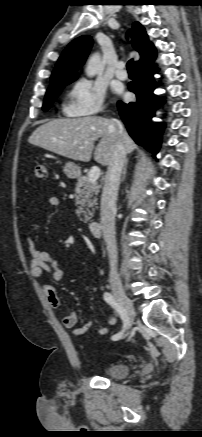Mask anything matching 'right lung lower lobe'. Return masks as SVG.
<instances>
[{
  "label": "right lung lower lobe",
  "instance_id": "1",
  "mask_svg": "<svg viewBox=\"0 0 202 437\" xmlns=\"http://www.w3.org/2000/svg\"><path fill=\"white\" fill-rule=\"evenodd\" d=\"M155 58L136 64V75L129 83V90L136 94L137 101L128 104L119 101L117 107L121 119L134 141L147 151L156 155L160 149L165 128L161 122H153L156 110L162 106L164 99L157 97L153 91L157 86L153 77L156 72Z\"/></svg>",
  "mask_w": 202,
  "mask_h": 437
}]
</instances>
